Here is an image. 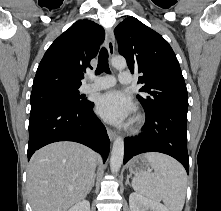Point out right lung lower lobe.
<instances>
[{
  "instance_id": "right-lung-lower-lobe-1",
  "label": "right lung lower lobe",
  "mask_w": 221,
  "mask_h": 211,
  "mask_svg": "<svg viewBox=\"0 0 221 211\" xmlns=\"http://www.w3.org/2000/svg\"><path fill=\"white\" fill-rule=\"evenodd\" d=\"M94 103L81 106L46 104L30 111L28 160L41 147L57 141L84 144L107 159L110 140L106 129L93 113Z\"/></svg>"
}]
</instances>
